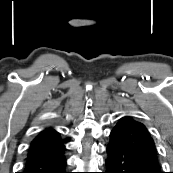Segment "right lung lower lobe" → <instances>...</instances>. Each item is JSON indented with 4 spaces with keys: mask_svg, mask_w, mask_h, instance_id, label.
<instances>
[{
    "mask_svg": "<svg viewBox=\"0 0 173 173\" xmlns=\"http://www.w3.org/2000/svg\"><path fill=\"white\" fill-rule=\"evenodd\" d=\"M65 147L61 145L30 151L22 173H68L65 170Z\"/></svg>",
    "mask_w": 173,
    "mask_h": 173,
    "instance_id": "right-lung-lower-lobe-1",
    "label": "right lung lower lobe"
}]
</instances>
